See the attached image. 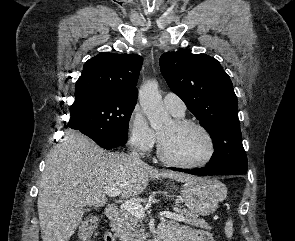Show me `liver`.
Returning a JSON list of instances; mask_svg holds the SVG:
<instances>
[{
  "label": "liver",
  "instance_id": "liver-1",
  "mask_svg": "<svg viewBox=\"0 0 295 241\" xmlns=\"http://www.w3.org/2000/svg\"><path fill=\"white\" fill-rule=\"evenodd\" d=\"M191 182L201 178L134 164L124 154L106 152L88 137L67 131L47 154L39 182L38 214L43 241H68L82 221L85 206L106 204V189L124 197L146 190L150 179Z\"/></svg>",
  "mask_w": 295,
  "mask_h": 241
}]
</instances>
